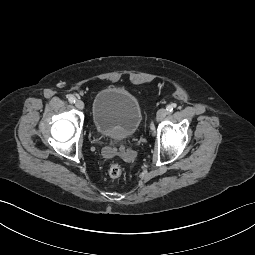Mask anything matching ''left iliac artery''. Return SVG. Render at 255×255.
Segmentation results:
<instances>
[{
	"instance_id": "left-iliac-artery-1",
	"label": "left iliac artery",
	"mask_w": 255,
	"mask_h": 255,
	"mask_svg": "<svg viewBox=\"0 0 255 255\" xmlns=\"http://www.w3.org/2000/svg\"><path fill=\"white\" fill-rule=\"evenodd\" d=\"M175 107H176L175 104H170V105H167L166 110L168 112H172L175 109Z\"/></svg>"
}]
</instances>
